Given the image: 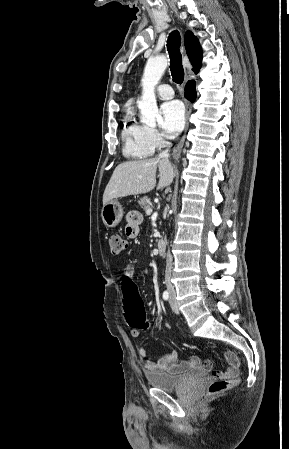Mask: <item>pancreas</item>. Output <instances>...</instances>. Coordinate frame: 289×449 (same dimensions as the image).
Segmentation results:
<instances>
[{"label": "pancreas", "instance_id": "obj_1", "mask_svg": "<svg viewBox=\"0 0 289 449\" xmlns=\"http://www.w3.org/2000/svg\"><path fill=\"white\" fill-rule=\"evenodd\" d=\"M140 207L146 211L149 208H152V203L148 197H143L138 201Z\"/></svg>", "mask_w": 289, "mask_h": 449}]
</instances>
